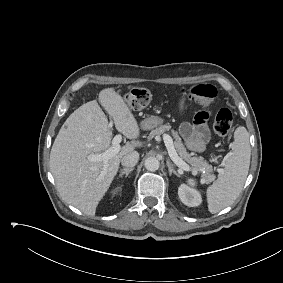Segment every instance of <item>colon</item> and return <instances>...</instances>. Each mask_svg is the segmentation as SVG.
Masks as SVG:
<instances>
[{"label":"colon","instance_id":"obj_1","mask_svg":"<svg viewBox=\"0 0 283 283\" xmlns=\"http://www.w3.org/2000/svg\"><path fill=\"white\" fill-rule=\"evenodd\" d=\"M182 92L207 104H211L217 95L216 88L207 83L195 85L188 90L183 89ZM125 101L130 109L141 110L149 105L151 101V93L146 88L136 87L126 95ZM232 125V111L227 107L219 109L213 125L215 133L219 136H226L230 133Z\"/></svg>","mask_w":283,"mask_h":283}]
</instances>
